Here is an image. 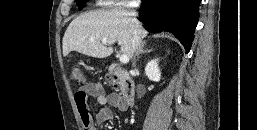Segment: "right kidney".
<instances>
[{"label": "right kidney", "mask_w": 257, "mask_h": 130, "mask_svg": "<svg viewBox=\"0 0 257 130\" xmlns=\"http://www.w3.org/2000/svg\"><path fill=\"white\" fill-rule=\"evenodd\" d=\"M145 74L151 81H160L161 73L158 67V59H153L147 63L145 67Z\"/></svg>", "instance_id": "ca27d5eb"}]
</instances>
